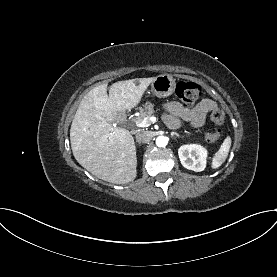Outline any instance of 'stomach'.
<instances>
[{
	"label": "stomach",
	"mask_w": 277,
	"mask_h": 277,
	"mask_svg": "<svg viewBox=\"0 0 277 277\" xmlns=\"http://www.w3.org/2000/svg\"><path fill=\"white\" fill-rule=\"evenodd\" d=\"M175 79L169 74L157 76L151 83V91L158 97H167L175 90Z\"/></svg>",
	"instance_id": "stomach-1"
}]
</instances>
